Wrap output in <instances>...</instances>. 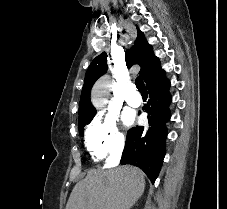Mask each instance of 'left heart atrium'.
<instances>
[{
	"mask_svg": "<svg viewBox=\"0 0 227 209\" xmlns=\"http://www.w3.org/2000/svg\"><path fill=\"white\" fill-rule=\"evenodd\" d=\"M123 120L126 125H131L134 122L135 117L132 113H125Z\"/></svg>",
	"mask_w": 227,
	"mask_h": 209,
	"instance_id": "obj_1",
	"label": "left heart atrium"
}]
</instances>
